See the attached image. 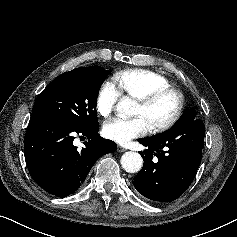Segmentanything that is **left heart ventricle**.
I'll return each instance as SVG.
<instances>
[{"label":"left heart ventricle","mask_w":237,"mask_h":237,"mask_svg":"<svg viewBox=\"0 0 237 237\" xmlns=\"http://www.w3.org/2000/svg\"><path fill=\"white\" fill-rule=\"evenodd\" d=\"M176 107L174 96H165L152 106L146 107L137 102L134 109V116L143 117L149 127L153 124L162 122L172 115Z\"/></svg>","instance_id":"left-heart-ventricle-1"}]
</instances>
